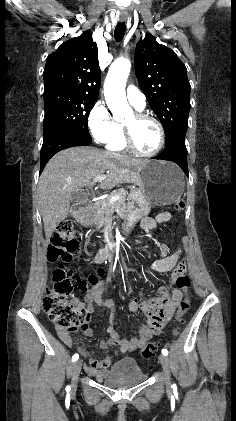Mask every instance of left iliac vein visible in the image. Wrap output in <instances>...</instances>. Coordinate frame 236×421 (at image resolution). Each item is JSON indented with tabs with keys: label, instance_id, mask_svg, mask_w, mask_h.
<instances>
[{
	"label": "left iliac vein",
	"instance_id": "4c4485c4",
	"mask_svg": "<svg viewBox=\"0 0 236 421\" xmlns=\"http://www.w3.org/2000/svg\"><path fill=\"white\" fill-rule=\"evenodd\" d=\"M158 359H159V361H160V363L162 364V366H163V370H164V376H165V379H166V381H169V368H170V361H169V359H168V357H166V356H164V355H159L158 356Z\"/></svg>",
	"mask_w": 236,
	"mask_h": 421
}]
</instances>
